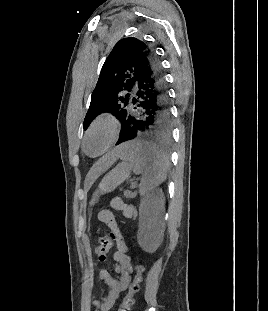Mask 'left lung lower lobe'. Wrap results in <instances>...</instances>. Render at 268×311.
<instances>
[{"mask_svg":"<svg viewBox=\"0 0 268 311\" xmlns=\"http://www.w3.org/2000/svg\"><path fill=\"white\" fill-rule=\"evenodd\" d=\"M168 102L162 66L152 52L138 68L130 111L116 145L122 140L168 141L171 128Z\"/></svg>","mask_w":268,"mask_h":311,"instance_id":"1","label":"left lung lower lobe"}]
</instances>
